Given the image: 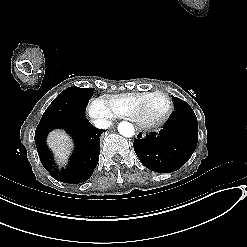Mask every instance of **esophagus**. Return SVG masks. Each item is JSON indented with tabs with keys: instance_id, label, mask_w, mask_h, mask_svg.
<instances>
[{
	"instance_id": "1",
	"label": "esophagus",
	"mask_w": 247,
	"mask_h": 247,
	"mask_svg": "<svg viewBox=\"0 0 247 247\" xmlns=\"http://www.w3.org/2000/svg\"><path fill=\"white\" fill-rule=\"evenodd\" d=\"M145 137V134L141 131H138L136 134V138L137 139H143Z\"/></svg>"
}]
</instances>
